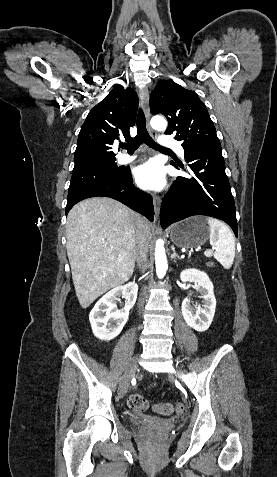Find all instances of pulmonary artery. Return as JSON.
Wrapping results in <instances>:
<instances>
[{"label": "pulmonary artery", "instance_id": "e3ab8cb5", "mask_svg": "<svg viewBox=\"0 0 277 477\" xmlns=\"http://www.w3.org/2000/svg\"><path fill=\"white\" fill-rule=\"evenodd\" d=\"M161 144L165 146L166 148L175 150L179 156L184 158L185 152L182 145L179 142L164 136L161 139ZM135 158H136L135 155L122 154L118 157L117 162L120 164H127L135 160Z\"/></svg>", "mask_w": 277, "mask_h": 477}]
</instances>
